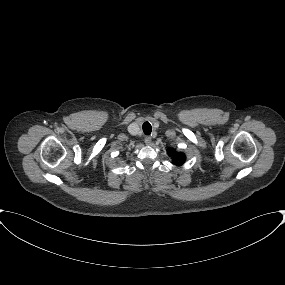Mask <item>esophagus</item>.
<instances>
[{"mask_svg":"<svg viewBox=\"0 0 285 285\" xmlns=\"http://www.w3.org/2000/svg\"><path fill=\"white\" fill-rule=\"evenodd\" d=\"M144 142L146 145H151L152 143V138L150 136H146L144 139Z\"/></svg>","mask_w":285,"mask_h":285,"instance_id":"34e87169","label":"esophagus"}]
</instances>
